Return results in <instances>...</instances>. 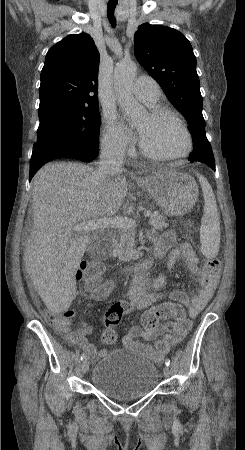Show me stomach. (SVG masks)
<instances>
[{
	"instance_id": "0dacf381",
	"label": "stomach",
	"mask_w": 245,
	"mask_h": 450,
	"mask_svg": "<svg viewBox=\"0 0 245 450\" xmlns=\"http://www.w3.org/2000/svg\"><path fill=\"white\" fill-rule=\"evenodd\" d=\"M167 216H181L198 200V185L187 173L170 168L152 171L138 182Z\"/></svg>"
}]
</instances>
